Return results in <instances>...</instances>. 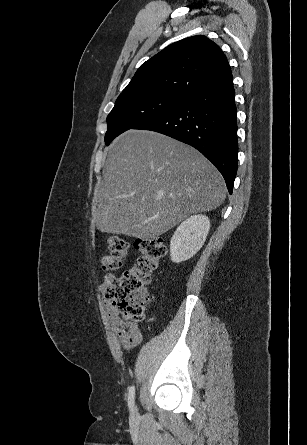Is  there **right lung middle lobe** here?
I'll list each match as a JSON object with an SVG mask.
<instances>
[{"instance_id": "dd1d6c3e", "label": "right lung middle lobe", "mask_w": 307, "mask_h": 445, "mask_svg": "<svg viewBox=\"0 0 307 445\" xmlns=\"http://www.w3.org/2000/svg\"><path fill=\"white\" fill-rule=\"evenodd\" d=\"M184 99L185 97L161 94L120 95L107 117L105 144L109 145L124 131L170 111Z\"/></svg>"}]
</instances>
